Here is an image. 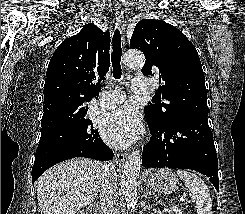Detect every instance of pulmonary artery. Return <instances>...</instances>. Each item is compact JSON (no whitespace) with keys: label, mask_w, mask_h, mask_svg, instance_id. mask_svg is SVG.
I'll return each instance as SVG.
<instances>
[{"label":"pulmonary artery","mask_w":245,"mask_h":214,"mask_svg":"<svg viewBox=\"0 0 245 214\" xmlns=\"http://www.w3.org/2000/svg\"><path fill=\"white\" fill-rule=\"evenodd\" d=\"M132 90L135 93L149 95L152 93V81L136 77L132 80ZM125 97V92L119 89L106 91L102 94L99 105L102 109H111L121 104Z\"/></svg>","instance_id":"1"}]
</instances>
